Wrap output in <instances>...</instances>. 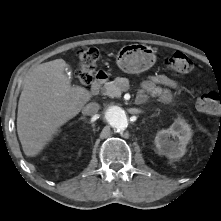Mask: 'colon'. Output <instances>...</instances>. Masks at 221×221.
Masks as SVG:
<instances>
[{
  "instance_id": "5ec220e1",
  "label": "colon",
  "mask_w": 221,
  "mask_h": 221,
  "mask_svg": "<svg viewBox=\"0 0 221 221\" xmlns=\"http://www.w3.org/2000/svg\"><path fill=\"white\" fill-rule=\"evenodd\" d=\"M77 58L79 60L78 80L88 84L95 76L100 52L96 48H83L77 51ZM164 65L167 70L180 74H187L193 69L192 61L181 52L169 55ZM196 105L204 113H218L221 110V93L204 92L198 96Z\"/></svg>"
}]
</instances>
